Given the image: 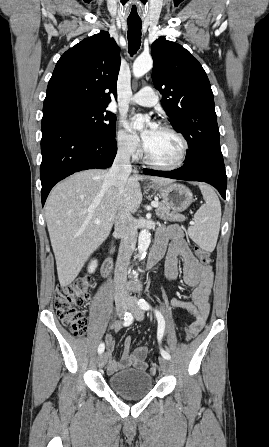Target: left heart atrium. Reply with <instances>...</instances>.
<instances>
[{"label": "left heart atrium", "mask_w": 269, "mask_h": 447, "mask_svg": "<svg viewBox=\"0 0 269 447\" xmlns=\"http://www.w3.org/2000/svg\"><path fill=\"white\" fill-rule=\"evenodd\" d=\"M156 127H158V126H157L156 124H154V125H153V128H156Z\"/></svg>", "instance_id": "obj_1"}]
</instances>
